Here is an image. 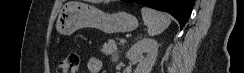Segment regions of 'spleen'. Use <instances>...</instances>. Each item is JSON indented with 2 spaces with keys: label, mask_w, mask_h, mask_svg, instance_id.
I'll use <instances>...</instances> for the list:
<instances>
[{
  "label": "spleen",
  "mask_w": 244,
  "mask_h": 73,
  "mask_svg": "<svg viewBox=\"0 0 244 73\" xmlns=\"http://www.w3.org/2000/svg\"><path fill=\"white\" fill-rule=\"evenodd\" d=\"M141 13L149 36L159 35L171 24L170 16L165 13L148 7H143Z\"/></svg>",
  "instance_id": "3e777b00"
}]
</instances>
